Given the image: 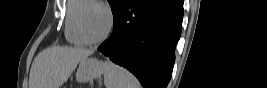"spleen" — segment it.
<instances>
[{
    "mask_svg": "<svg viewBox=\"0 0 267 88\" xmlns=\"http://www.w3.org/2000/svg\"><path fill=\"white\" fill-rule=\"evenodd\" d=\"M104 84L106 88H142L137 78L111 61L103 63Z\"/></svg>",
    "mask_w": 267,
    "mask_h": 88,
    "instance_id": "obj_1",
    "label": "spleen"
}]
</instances>
